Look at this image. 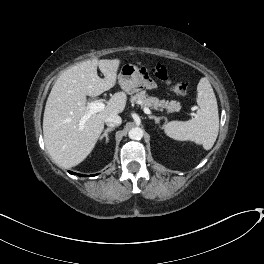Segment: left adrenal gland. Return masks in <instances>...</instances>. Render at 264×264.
<instances>
[{"mask_svg":"<svg viewBox=\"0 0 264 264\" xmlns=\"http://www.w3.org/2000/svg\"><path fill=\"white\" fill-rule=\"evenodd\" d=\"M149 119H154L156 124L160 123V120L162 119V117H157V116H149Z\"/></svg>","mask_w":264,"mask_h":264,"instance_id":"left-adrenal-gland-1","label":"left adrenal gland"}]
</instances>
